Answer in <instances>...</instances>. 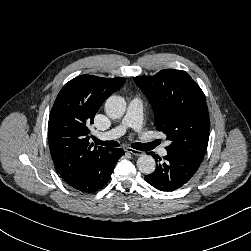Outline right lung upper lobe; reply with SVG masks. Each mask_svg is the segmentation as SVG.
<instances>
[{"mask_svg": "<svg viewBox=\"0 0 251 251\" xmlns=\"http://www.w3.org/2000/svg\"><path fill=\"white\" fill-rule=\"evenodd\" d=\"M125 83V78L81 75L67 82L52 107L48 123L50 153L66 182L72 181L84 164L108 151L89 142V125L102 103Z\"/></svg>", "mask_w": 251, "mask_h": 251, "instance_id": "obj_1", "label": "right lung upper lobe"}]
</instances>
